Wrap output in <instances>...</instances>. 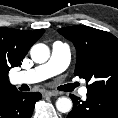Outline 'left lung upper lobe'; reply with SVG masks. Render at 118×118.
Listing matches in <instances>:
<instances>
[{
	"label": "left lung upper lobe",
	"mask_w": 118,
	"mask_h": 118,
	"mask_svg": "<svg viewBox=\"0 0 118 118\" xmlns=\"http://www.w3.org/2000/svg\"><path fill=\"white\" fill-rule=\"evenodd\" d=\"M58 32L77 50L74 75L91 82L88 93L118 98V39L82 25L63 27Z\"/></svg>",
	"instance_id": "5c2ea615"
}]
</instances>
